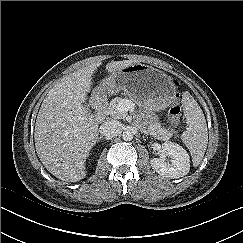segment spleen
Wrapping results in <instances>:
<instances>
[{"label": "spleen", "instance_id": "obj_1", "mask_svg": "<svg viewBox=\"0 0 243 243\" xmlns=\"http://www.w3.org/2000/svg\"><path fill=\"white\" fill-rule=\"evenodd\" d=\"M182 106L187 129L182 133L181 139L189 149L193 165L196 167L200 164L207 148V124L202 109L189 92L183 93Z\"/></svg>", "mask_w": 243, "mask_h": 243}]
</instances>
